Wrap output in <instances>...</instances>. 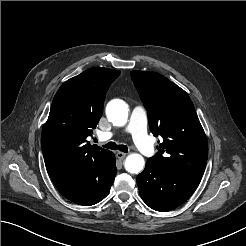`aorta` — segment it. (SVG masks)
Returning <instances> with one entry per match:
<instances>
[{
	"mask_svg": "<svg viewBox=\"0 0 246 246\" xmlns=\"http://www.w3.org/2000/svg\"><path fill=\"white\" fill-rule=\"evenodd\" d=\"M106 115L109 121L115 126H124L128 121V106L122 100L115 99L106 106ZM145 166V160L138 153L129 154L124 163L127 172L131 174L140 173Z\"/></svg>",
	"mask_w": 246,
	"mask_h": 246,
	"instance_id": "1",
	"label": "aorta"
}]
</instances>
